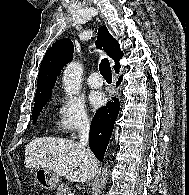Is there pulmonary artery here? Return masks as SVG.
Listing matches in <instances>:
<instances>
[{
	"label": "pulmonary artery",
	"mask_w": 189,
	"mask_h": 195,
	"mask_svg": "<svg viewBox=\"0 0 189 195\" xmlns=\"http://www.w3.org/2000/svg\"><path fill=\"white\" fill-rule=\"evenodd\" d=\"M88 85L93 89H99L103 86V78L98 72H91L87 78Z\"/></svg>",
	"instance_id": "e3ab8cb5"
}]
</instances>
